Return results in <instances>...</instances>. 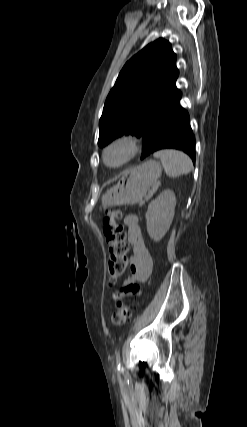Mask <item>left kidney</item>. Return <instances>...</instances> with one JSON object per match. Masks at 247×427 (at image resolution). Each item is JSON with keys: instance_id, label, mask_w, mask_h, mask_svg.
<instances>
[{"instance_id": "obj_1", "label": "left kidney", "mask_w": 247, "mask_h": 427, "mask_svg": "<svg viewBox=\"0 0 247 427\" xmlns=\"http://www.w3.org/2000/svg\"><path fill=\"white\" fill-rule=\"evenodd\" d=\"M175 206V194L169 189L162 191L148 205L146 212L147 232L155 242H159L168 232L174 218Z\"/></svg>"}]
</instances>
